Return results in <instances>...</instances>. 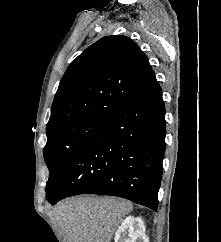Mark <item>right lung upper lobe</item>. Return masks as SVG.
Here are the masks:
<instances>
[{"label": "right lung upper lobe", "mask_w": 221, "mask_h": 242, "mask_svg": "<svg viewBox=\"0 0 221 242\" xmlns=\"http://www.w3.org/2000/svg\"><path fill=\"white\" fill-rule=\"evenodd\" d=\"M156 82L146 55L126 36H106L67 68L56 92L49 131L87 118L104 120Z\"/></svg>", "instance_id": "right-lung-upper-lobe-1"}]
</instances>
